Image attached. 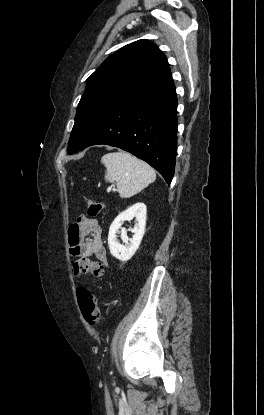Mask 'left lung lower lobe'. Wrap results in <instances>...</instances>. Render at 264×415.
I'll return each instance as SVG.
<instances>
[{
	"label": "left lung lower lobe",
	"instance_id": "obj_1",
	"mask_svg": "<svg viewBox=\"0 0 264 415\" xmlns=\"http://www.w3.org/2000/svg\"><path fill=\"white\" fill-rule=\"evenodd\" d=\"M97 144L130 152L170 184L177 151V97L171 74L110 109L78 151Z\"/></svg>",
	"mask_w": 264,
	"mask_h": 415
}]
</instances>
